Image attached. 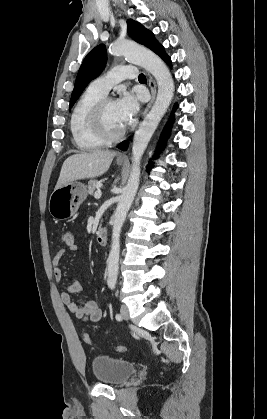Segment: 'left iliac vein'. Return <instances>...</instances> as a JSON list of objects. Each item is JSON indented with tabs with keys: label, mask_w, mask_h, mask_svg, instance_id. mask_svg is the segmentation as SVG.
<instances>
[{
	"label": "left iliac vein",
	"mask_w": 267,
	"mask_h": 419,
	"mask_svg": "<svg viewBox=\"0 0 267 419\" xmlns=\"http://www.w3.org/2000/svg\"><path fill=\"white\" fill-rule=\"evenodd\" d=\"M121 315L125 320H129V310L126 306L121 307Z\"/></svg>",
	"instance_id": "left-iliac-vein-1"
}]
</instances>
